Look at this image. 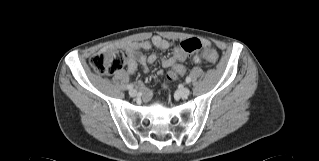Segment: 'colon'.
<instances>
[{"mask_svg":"<svg viewBox=\"0 0 319 161\" xmlns=\"http://www.w3.org/2000/svg\"><path fill=\"white\" fill-rule=\"evenodd\" d=\"M201 49V42L196 38H189L183 40L178 45L174 54L176 62H182L187 55L197 52ZM205 58L212 63H216L219 60L218 53L213 49H207L205 51ZM127 61V56L121 51H113L108 53H98L94 55L90 64L92 68L99 74L111 75L123 69ZM177 79L176 72L174 70L169 71L168 80L174 82Z\"/></svg>","mask_w":319,"mask_h":161,"instance_id":"5ec220e1","label":"colon"}]
</instances>
